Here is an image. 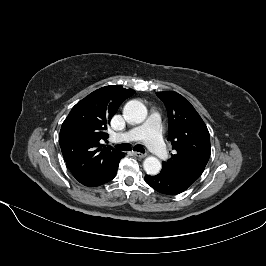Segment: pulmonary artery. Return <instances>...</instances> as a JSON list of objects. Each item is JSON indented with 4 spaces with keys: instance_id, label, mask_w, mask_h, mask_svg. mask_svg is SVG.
<instances>
[{
    "instance_id": "1",
    "label": "pulmonary artery",
    "mask_w": 266,
    "mask_h": 266,
    "mask_svg": "<svg viewBox=\"0 0 266 266\" xmlns=\"http://www.w3.org/2000/svg\"><path fill=\"white\" fill-rule=\"evenodd\" d=\"M160 123V115L154 112L145 123L117 135V139L120 141L143 140L158 158L166 159L167 151L161 138Z\"/></svg>"
}]
</instances>
